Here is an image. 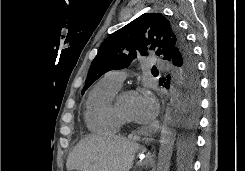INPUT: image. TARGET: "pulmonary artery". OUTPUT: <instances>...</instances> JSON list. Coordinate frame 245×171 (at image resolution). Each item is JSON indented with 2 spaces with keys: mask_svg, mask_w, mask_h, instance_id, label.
I'll return each instance as SVG.
<instances>
[{
  "mask_svg": "<svg viewBox=\"0 0 245 171\" xmlns=\"http://www.w3.org/2000/svg\"><path fill=\"white\" fill-rule=\"evenodd\" d=\"M156 66L159 68H168V64L165 60H157ZM105 79L117 88H121L125 79V73L120 70L110 71L105 75Z\"/></svg>",
  "mask_w": 245,
  "mask_h": 171,
  "instance_id": "1",
  "label": "pulmonary artery"
}]
</instances>
